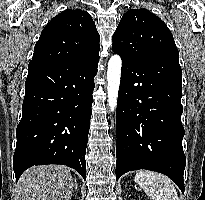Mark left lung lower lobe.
<instances>
[{
	"label": "left lung lower lobe",
	"instance_id": "1",
	"mask_svg": "<svg viewBox=\"0 0 205 200\" xmlns=\"http://www.w3.org/2000/svg\"><path fill=\"white\" fill-rule=\"evenodd\" d=\"M121 58L116 180L128 171L147 169L167 175L184 192L179 59L170 55L144 61Z\"/></svg>",
	"mask_w": 205,
	"mask_h": 200
}]
</instances>
